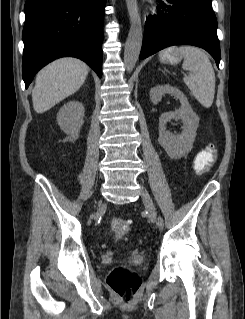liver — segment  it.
Here are the masks:
<instances>
[{"label":"liver","instance_id":"liver-1","mask_svg":"<svg viewBox=\"0 0 245 319\" xmlns=\"http://www.w3.org/2000/svg\"><path fill=\"white\" fill-rule=\"evenodd\" d=\"M88 66L76 58H62L44 67L32 90L33 108L43 113L74 94L85 82Z\"/></svg>","mask_w":245,"mask_h":319}]
</instances>
